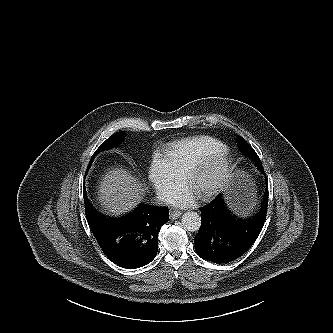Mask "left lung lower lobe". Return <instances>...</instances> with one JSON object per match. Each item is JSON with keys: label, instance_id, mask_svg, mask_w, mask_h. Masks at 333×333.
Instances as JSON below:
<instances>
[{"label": "left lung lower lobe", "instance_id": "left-lung-lower-lobe-1", "mask_svg": "<svg viewBox=\"0 0 333 333\" xmlns=\"http://www.w3.org/2000/svg\"><path fill=\"white\" fill-rule=\"evenodd\" d=\"M267 206L268 186L259 212L247 218L234 214L223 196L218 195L200 208L202 223L194 239L196 253L218 264L241 257L259 236L266 219Z\"/></svg>", "mask_w": 333, "mask_h": 333}]
</instances>
